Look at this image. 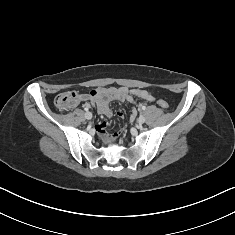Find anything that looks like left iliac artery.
Segmentation results:
<instances>
[{"instance_id": "1", "label": "left iliac artery", "mask_w": 235, "mask_h": 235, "mask_svg": "<svg viewBox=\"0 0 235 235\" xmlns=\"http://www.w3.org/2000/svg\"><path fill=\"white\" fill-rule=\"evenodd\" d=\"M141 109H142V110H145V109H146V107H145V106H142V107H141Z\"/></svg>"}]
</instances>
